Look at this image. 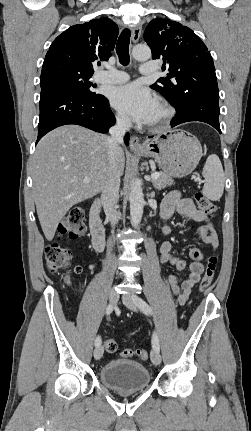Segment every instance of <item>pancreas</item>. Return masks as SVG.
Here are the masks:
<instances>
[{
    "instance_id": "obj_1",
    "label": "pancreas",
    "mask_w": 251,
    "mask_h": 431,
    "mask_svg": "<svg viewBox=\"0 0 251 431\" xmlns=\"http://www.w3.org/2000/svg\"><path fill=\"white\" fill-rule=\"evenodd\" d=\"M158 174H159V177L152 181L153 186L157 190H161V189H164L168 186L173 185V179L170 176H168L164 173H161V172H159Z\"/></svg>"
}]
</instances>
